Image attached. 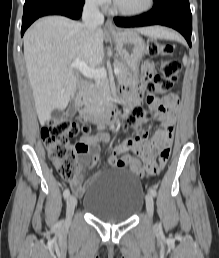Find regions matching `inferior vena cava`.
<instances>
[{"mask_svg": "<svg viewBox=\"0 0 219 258\" xmlns=\"http://www.w3.org/2000/svg\"><path fill=\"white\" fill-rule=\"evenodd\" d=\"M82 20L88 33H93L104 23V16L99 11L95 0L86 1L83 8Z\"/></svg>", "mask_w": 219, "mask_h": 258, "instance_id": "inferior-vena-cava-1", "label": "inferior vena cava"}]
</instances>
